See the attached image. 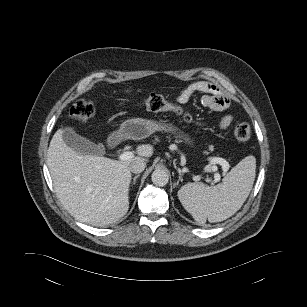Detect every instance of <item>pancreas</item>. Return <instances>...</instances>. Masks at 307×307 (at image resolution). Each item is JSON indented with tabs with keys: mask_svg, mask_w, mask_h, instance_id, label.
I'll return each instance as SVG.
<instances>
[{
	"mask_svg": "<svg viewBox=\"0 0 307 307\" xmlns=\"http://www.w3.org/2000/svg\"><path fill=\"white\" fill-rule=\"evenodd\" d=\"M213 159H214L213 157H210V158H209V160H211V162L213 161Z\"/></svg>",
	"mask_w": 307,
	"mask_h": 307,
	"instance_id": "obj_1",
	"label": "pancreas"
}]
</instances>
